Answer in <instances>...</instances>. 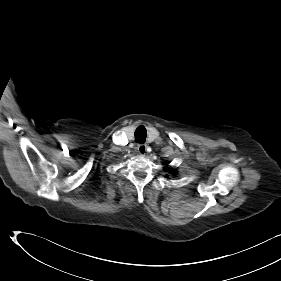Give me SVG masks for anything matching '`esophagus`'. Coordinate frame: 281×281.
<instances>
[{"mask_svg":"<svg viewBox=\"0 0 281 281\" xmlns=\"http://www.w3.org/2000/svg\"><path fill=\"white\" fill-rule=\"evenodd\" d=\"M146 149H147L146 144H138V146H137V150L140 154H145Z\"/></svg>","mask_w":281,"mask_h":281,"instance_id":"esophagus-1","label":"esophagus"}]
</instances>
